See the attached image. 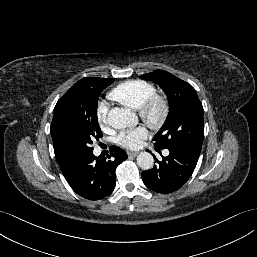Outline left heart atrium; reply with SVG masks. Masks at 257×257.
I'll use <instances>...</instances> for the list:
<instances>
[{
	"label": "left heart atrium",
	"mask_w": 257,
	"mask_h": 257,
	"mask_svg": "<svg viewBox=\"0 0 257 257\" xmlns=\"http://www.w3.org/2000/svg\"><path fill=\"white\" fill-rule=\"evenodd\" d=\"M148 131L144 126H137L132 129L120 132L116 138L117 144L128 149L138 148L147 137Z\"/></svg>",
	"instance_id": "obj_1"
}]
</instances>
